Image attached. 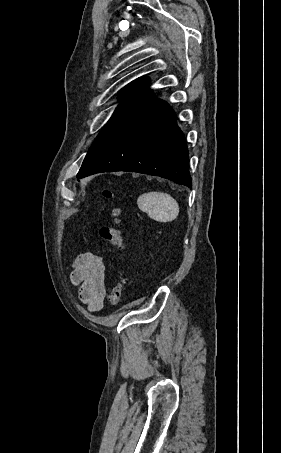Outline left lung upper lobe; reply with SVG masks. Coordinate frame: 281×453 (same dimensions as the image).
Returning <instances> with one entry per match:
<instances>
[{
	"label": "left lung upper lobe",
	"instance_id": "1",
	"mask_svg": "<svg viewBox=\"0 0 281 453\" xmlns=\"http://www.w3.org/2000/svg\"><path fill=\"white\" fill-rule=\"evenodd\" d=\"M149 80L147 78H138L127 86H125L120 94L119 99L122 100L121 104L113 113L110 121L104 129L97 136L92 146L90 147L81 168L85 167L105 145L114 131L121 125V123L130 115L136 108L140 101L149 91Z\"/></svg>",
	"mask_w": 281,
	"mask_h": 453
}]
</instances>
